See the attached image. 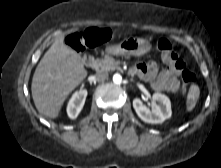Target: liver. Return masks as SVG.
Wrapping results in <instances>:
<instances>
[{"label":"liver","instance_id":"1","mask_svg":"<svg viewBox=\"0 0 221 168\" xmlns=\"http://www.w3.org/2000/svg\"><path fill=\"white\" fill-rule=\"evenodd\" d=\"M81 56L59 36L37 65L31 84L39 113L57 118L68 95L86 78Z\"/></svg>","mask_w":221,"mask_h":168}]
</instances>
